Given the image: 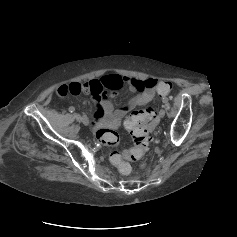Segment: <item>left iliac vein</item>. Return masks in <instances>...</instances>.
Returning <instances> with one entry per match:
<instances>
[{"label":"left iliac vein","instance_id":"left-iliac-vein-1","mask_svg":"<svg viewBox=\"0 0 237 237\" xmlns=\"http://www.w3.org/2000/svg\"><path fill=\"white\" fill-rule=\"evenodd\" d=\"M165 116V110L164 109H161L159 111V117L163 118Z\"/></svg>","mask_w":237,"mask_h":237}]
</instances>
